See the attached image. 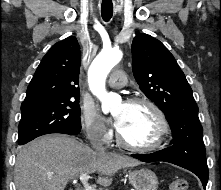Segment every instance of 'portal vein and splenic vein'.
Listing matches in <instances>:
<instances>
[{
  "label": "portal vein and splenic vein",
  "mask_w": 221,
  "mask_h": 190,
  "mask_svg": "<svg viewBox=\"0 0 221 190\" xmlns=\"http://www.w3.org/2000/svg\"><path fill=\"white\" fill-rule=\"evenodd\" d=\"M89 175L87 173H83L80 175V181L83 184L84 190H96L92 186L88 184Z\"/></svg>",
  "instance_id": "portal-vein-and-splenic-vein-1"
}]
</instances>
